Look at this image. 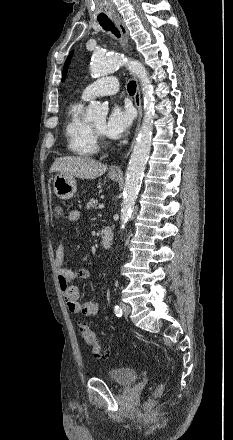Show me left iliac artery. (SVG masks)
I'll list each match as a JSON object with an SVG mask.
<instances>
[{
    "label": "left iliac artery",
    "mask_w": 233,
    "mask_h": 440,
    "mask_svg": "<svg viewBox=\"0 0 233 440\" xmlns=\"http://www.w3.org/2000/svg\"><path fill=\"white\" fill-rule=\"evenodd\" d=\"M114 312H115V314H116L118 317H121V316H122V310H121V308H120L118 305H116V306L114 307Z\"/></svg>",
    "instance_id": "obj_1"
}]
</instances>
